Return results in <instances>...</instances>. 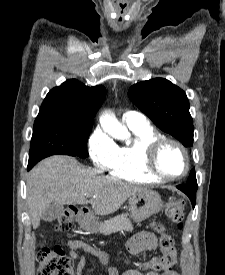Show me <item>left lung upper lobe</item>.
Instances as JSON below:
<instances>
[{"label": "left lung upper lobe", "mask_w": 225, "mask_h": 275, "mask_svg": "<svg viewBox=\"0 0 225 275\" xmlns=\"http://www.w3.org/2000/svg\"><path fill=\"white\" fill-rule=\"evenodd\" d=\"M128 95L157 127L173 135L185 147L193 145V120L183 90L164 78H155L132 85ZM187 183L197 185L194 169Z\"/></svg>", "instance_id": "1"}]
</instances>
